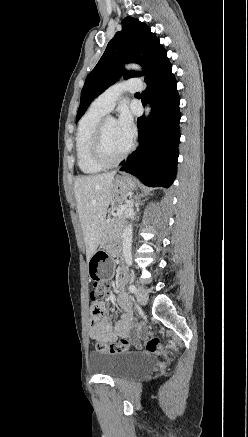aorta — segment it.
<instances>
[{
  "label": "aorta",
  "mask_w": 248,
  "mask_h": 437,
  "mask_svg": "<svg viewBox=\"0 0 248 437\" xmlns=\"http://www.w3.org/2000/svg\"><path fill=\"white\" fill-rule=\"evenodd\" d=\"M126 69L133 70H141L139 65L130 64L126 66ZM150 114V107L147 105L145 108V115L148 116ZM132 235H133V227L132 224H128L122 235V252L123 257L128 260L131 259V249H132Z\"/></svg>",
  "instance_id": "762f6f07"
}]
</instances>
